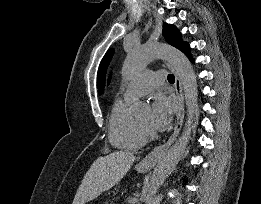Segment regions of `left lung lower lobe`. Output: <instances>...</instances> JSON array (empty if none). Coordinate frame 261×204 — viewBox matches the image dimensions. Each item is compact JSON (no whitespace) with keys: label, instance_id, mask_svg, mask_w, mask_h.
Returning a JSON list of instances; mask_svg holds the SVG:
<instances>
[{"label":"left lung lower lobe","instance_id":"1","mask_svg":"<svg viewBox=\"0 0 261 204\" xmlns=\"http://www.w3.org/2000/svg\"><path fill=\"white\" fill-rule=\"evenodd\" d=\"M181 51H183L188 57L189 59L193 62V58L191 57L190 53H189V46L186 44Z\"/></svg>","mask_w":261,"mask_h":204}]
</instances>
